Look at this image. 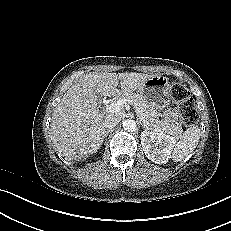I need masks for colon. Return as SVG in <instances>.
<instances>
[{
  "label": "colon",
  "instance_id": "5ec220e1",
  "mask_svg": "<svg viewBox=\"0 0 231 231\" xmlns=\"http://www.w3.org/2000/svg\"><path fill=\"white\" fill-rule=\"evenodd\" d=\"M170 94L178 105L181 123L185 126L193 125L198 119V113L189 90L180 83H173L170 87Z\"/></svg>",
  "mask_w": 231,
  "mask_h": 231
}]
</instances>
